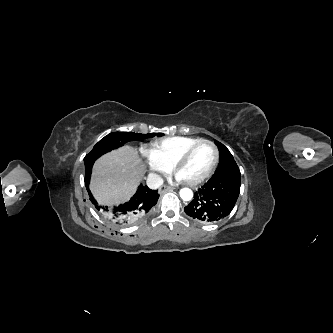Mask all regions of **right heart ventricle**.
Returning <instances> with one entry per match:
<instances>
[{
    "label": "right heart ventricle",
    "mask_w": 333,
    "mask_h": 333,
    "mask_svg": "<svg viewBox=\"0 0 333 333\" xmlns=\"http://www.w3.org/2000/svg\"><path fill=\"white\" fill-rule=\"evenodd\" d=\"M199 138L187 136H172L155 141L152 150L159 160L171 169L179 155L189 146L199 141Z\"/></svg>",
    "instance_id": "e07e8e85"
}]
</instances>
